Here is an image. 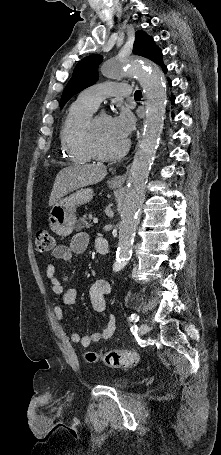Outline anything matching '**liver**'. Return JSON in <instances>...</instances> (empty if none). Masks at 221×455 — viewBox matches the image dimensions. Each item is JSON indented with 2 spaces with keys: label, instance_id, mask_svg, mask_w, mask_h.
Returning <instances> with one entry per match:
<instances>
[{
  "label": "liver",
  "instance_id": "6515ba94",
  "mask_svg": "<svg viewBox=\"0 0 221 455\" xmlns=\"http://www.w3.org/2000/svg\"><path fill=\"white\" fill-rule=\"evenodd\" d=\"M107 175V168L102 164L71 165L63 168L56 176L49 206H53L63 196L78 188L97 184Z\"/></svg>",
  "mask_w": 221,
  "mask_h": 455
}]
</instances>
